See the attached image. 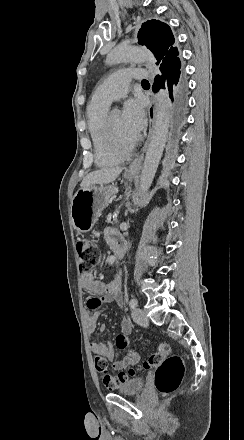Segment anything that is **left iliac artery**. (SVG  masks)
<instances>
[{
	"label": "left iliac artery",
	"instance_id": "obj_1",
	"mask_svg": "<svg viewBox=\"0 0 244 440\" xmlns=\"http://www.w3.org/2000/svg\"><path fill=\"white\" fill-rule=\"evenodd\" d=\"M137 305H138V301H137V299L136 298H132V299H130V301H129V306H130V308H136L137 307Z\"/></svg>",
	"mask_w": 244,
	"mask_h": 440
}]
</instances>
